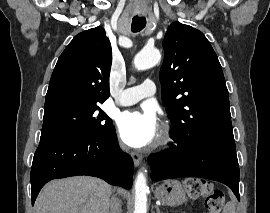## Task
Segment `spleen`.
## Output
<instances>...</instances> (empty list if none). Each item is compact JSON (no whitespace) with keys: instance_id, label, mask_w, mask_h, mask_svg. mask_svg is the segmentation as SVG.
I'll use <instances>...</instances> for the list:
<instances>
[{"instance_id":"3e777b00","label":"spleen","mask_w":270,"mask_h":213,"mask_svg":"<svg viewBox=\"0 0 270 213\" xmlns=\"http://www.w3.org/2000/svg\"><path fill=\"white\" fill-rule=\"evenodd\" d=\"M223 213H236L235 212V205L233 202H228L224 208Z\"/></svg>"}]
</instances>
